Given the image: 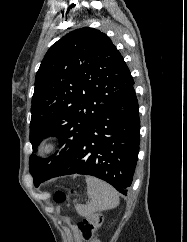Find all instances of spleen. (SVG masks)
I'll return each instance as SVG.
<instances>
[{"mask_svg":"<svg viewBox=\"0 0 187 242\" xmlns=\"http://www.w3.org/2000/svg\"><path fill=\"white\" fill-rule=\"evenodd\" d=\"M86 183L90 202L86 206L75 205L79 215L89 216L95 212L110 210L118 205L119 195L111 185L95 177H87Z\"/></svg>","mask_w":187,"mask_h":242,"instance_id":"spleen-1","label":"spleen"}]
</instances>
